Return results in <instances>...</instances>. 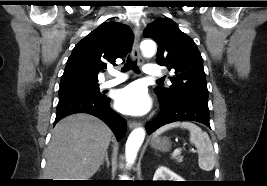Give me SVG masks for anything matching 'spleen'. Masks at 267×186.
Wrapping results in <instances>:
<instances>
[{
  "instance_id": "spleen-1",
  "label": "spleen",
  "mask_w": 267,
  "mask_h": 186,
  "mask_svg": "<svg viewBox=\"0 0 267 186\" xmlns=\"http://www.w3.org/2000/svg\"><path fill=\"white\" fill-rule=\"evenodd\" d=\"M175 127H181L190 131V142L197 148L199 167L206 171L212 170L215 165L213 145L208 134L203 132L201 128L194 123L183 121L167 124L156 130L153 138H157L161 133Z\"/></svg>"
}]
</instances>
